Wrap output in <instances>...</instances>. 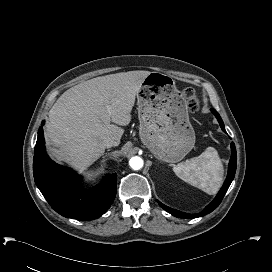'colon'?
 <instances>
[{"label": "colon", "instance_id": "1", "mask_svg": "<svg viewBox=\"0 0 272 272\" xmlns=\"http://www.w3.org/2000/svg\"><path fill=\"white\" fill-rule=\"evenodd\" d=\"M182 97L187 103L189 109L196 113L200 108L199 99L194 91V89L187 87L182 91Z\"/></svg>", "mask_w": 272, "mask_h": 272}]
</instances>
